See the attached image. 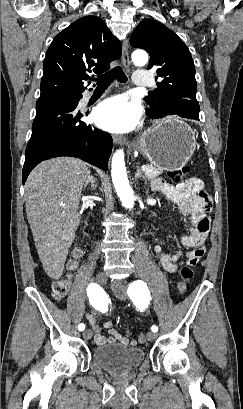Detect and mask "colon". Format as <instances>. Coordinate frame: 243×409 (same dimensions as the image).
<instances>
[{
	"instance_id": "obj_1",
	"label": "colon",
	"mask_w": 243,
	"mask_h": 409,
	"mask_svg": "<svg viewBox=\"0 0 243 409\" xmlns=\"http://www.w3.org/2000/svg\"><path fill=\"white\" fill-rule=\"evenodd\" d=\"M190 174V168L185 166L179 169L169 172V177L174 181H180L185 179ZM77 256L69 263V269L72 271L76 268ZM193 276V271L190 266L184 265L180 269V281L178 282L177 289L180 294L187 291L188 282ZM69 290V281L67 279H58L52 285L53 296L60 300L66 296ZM139 343L146 342L145 334H140L138 336Z\"/></svg>"
}]
</instances>
